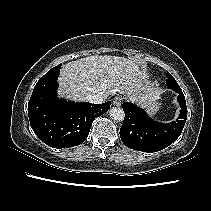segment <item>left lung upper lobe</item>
Listing matches in <instances>:
<instances>
[{"label": "left lung upper lobe", "mask_w": 211, "mask_h": 211, "mask_svg": "<svg viewBox=\"0 0 211 211\" xmlns=\"http://www.w3.org/2000/svg\"><path fill=\"white\" fill-rule=\"evenodd\" d=\"M166 85L169 89H173V90L175 88L179 87L178 83L176 82L174 77L169 72H167Z\"/></svg>", "instance_id": "1"}]
</instances>
